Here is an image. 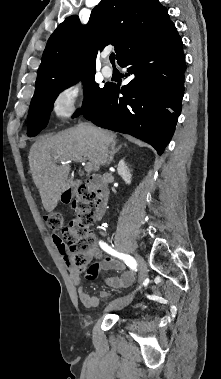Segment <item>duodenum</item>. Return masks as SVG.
I'll use <instances>...</instances> for the list:
<instances>
[{"label":"duodenum","mask_w":221,"mask_h":379,"mask_svg":"<svg viewBox=\"0 0 221 379\" xmlns=\"http://www.w3.org/2000/svg\"><path fill=\"white\" fill-rule=\"evenodd\" d=\"M85 189L95 191L97 199L95 201L96 219H100L107 208V187L103 179L99 176H90L84 181H74L71 186L65 191L64 196L68 200L78 198L81 192Z\"/></svg>","instance_id":"obj_1"}]
</instances>
